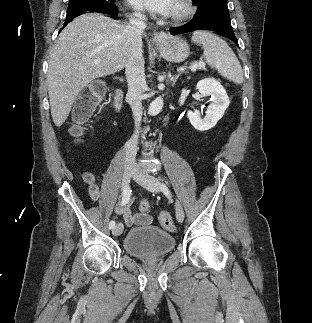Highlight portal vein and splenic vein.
Listing matches in <instances>:
<instances>
[{"mask_svg": "<svg viewBox=\"0 0 312 323\" xmlns=\"http://www.w3.org/2000/svg\"><path fill=\"white\" fill-rule=\"evenodd\" d=\"M95 66H99L100 62H94ZM197 68H205L204 62H195L194 66H191V72H196Z\"/></svg>", "mask_w": 312, "mask_h": 323, "instance_id": "1", "label": "portal vein and splenic vein"}]
</instances>
